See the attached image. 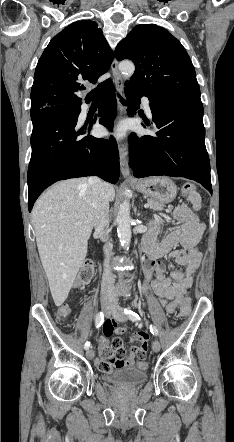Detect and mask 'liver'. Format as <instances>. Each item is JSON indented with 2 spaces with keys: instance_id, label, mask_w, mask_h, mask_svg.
<instances>
[{
  "instance_id": "obj_1",
  "label": "liver",
  "mask_w": 234,
  "mask_h": 442,
  "mask_svg": "<svg viewBox=\"0 0 234 442\" xmlns=\"http://www.w3.org/2000/svg\"><path fill=\"white\" fill-rule=\"evenodd\" d=\"M105 190L109 201H113L114 187L105 183ZM32 221L54 303L61 306L85 260L94 226L88 179H68L52 186L36 201Z\"/></svg>"
}]
</instances>
